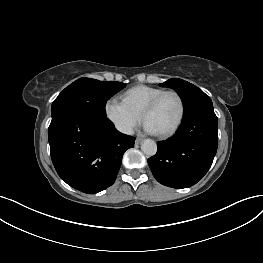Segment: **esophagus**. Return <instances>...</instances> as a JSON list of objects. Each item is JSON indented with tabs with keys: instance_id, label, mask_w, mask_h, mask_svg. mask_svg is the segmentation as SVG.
<instances>
[{
	"instance_id": "1",
	"label": "esophagus",
	"mask_w": 263,
	"mask_h": 263,
	"mask_svg": "<svg viewBox=\"0 0 263 263\" xmlns=\"http://www.w3.org/2000/svg\"><path fill=\"white\" fill-rule=\"evenodd\" d=\"M142 142V139L141 138H136L135 140V144L138 145Z\"/></svg>"
}]
</instances>
